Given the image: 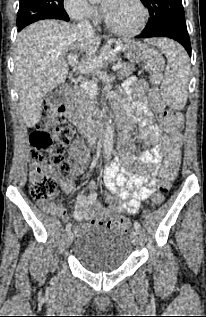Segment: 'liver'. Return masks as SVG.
I'll return each mask as SVG.
<instances>
[{
    "mask_svg": "<svg viewBox=\"0 0 206 317\" xmlns=\"http://www.w3.org/2000/svg\"><path fill=\"white\" fill-rule=\"evenodd\" d=\"M101 38L82 34L78 27L58 20L36 22L17 37L14 54L15 84L22 116L27 127H34L40 117L42 100L68 75L65 57L70 51L80 52L87 59L80 65L86 72L102 65L94 56L99 52ZM92 63L83 68V63Z\"/></svg>",
    "mask_w": 206,
    "mask_h": 317,
    "instance_id": "obj_1",
    "label": "liver"
}]
</instances>
